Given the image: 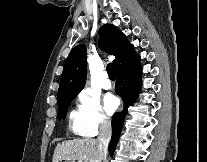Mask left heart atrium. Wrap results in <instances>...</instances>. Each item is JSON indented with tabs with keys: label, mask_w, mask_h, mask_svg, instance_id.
Masks as SVG:
<instances>
[{
	"label": "left heart atrium",
	"mask_w": 207,
	"mask_h": 162,
	"mask_svg": "<svg viewBox=\"0 0 207 162\" xmlns=\"http://www.w3.org/2000/svg\"><path fill=\"white\" fill-rule=\"evenodd\" d=\"M118 106V100L112 94H107L104 97V108L108 114H111Z\"/></svg>",
	"instance_id": "39dd6f15"
}]
</instances>
